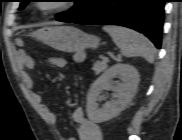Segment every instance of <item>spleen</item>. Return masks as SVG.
<instances>
[{"label": "spleen", "instance_id": "3e777b00", "mask_svg": "<svg viewBox=\"0 0 182 140\" xmlns=\"http://www.w3.org/2000/svg\"><path fill=\"white\" fill-rule=\"evenodd\" d=\"M103 30L109 33L124 56H141L149 63L154 62L155 48L145 36L121 26L108 25L104 26Z\"/></svg>", "mask_w": 182, "mask_h": 140}]
</instances>
